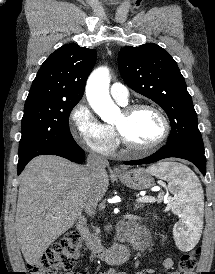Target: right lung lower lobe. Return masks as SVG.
<instances>
[{
    "mask_svg": "<svg viewBox=\"0 0 215 274\" xmlns=\"http://www.w3.org/2000/svg\"><path fill=\"white\" fill-rule=\"evenodd\" d=\"M46 154L61 156V157H64V158H66L70 161L76 162V163H82L85 160V153H84L83 149L80 148L77 144H74L72 146H62V147L49 149L40 155H46ZM30 160H25V161L19 160L18 175L22 172L25 165Z\"/></svg>",
    "mask_w": 215,
    "mask_h": 274,
    "instance_id": "right-lung-lower-lobe-1",
    "label": "right lung lower lobe"
}]
</instances>
